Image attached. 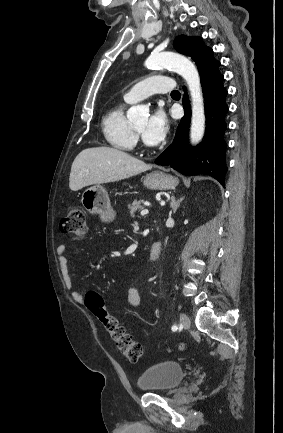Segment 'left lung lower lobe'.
Listing matches in <instances>:
<instances>
[{
	"mask_svg": "<svg viewBox=\"0 0 283 433\" xmlns=\"http://www.w3.org/2000/svg\"><path fill=\"white\" fill-rule=\"evenodd\" d=\"M195 63L200 73L201 85L205 98L206 137L196 148L188 144L190 109L187 95H184L185 115L178 126L173 143L161 153L155 163L169 165L178 172L190 176L206 174L225 186L227 166L225 154L227 143L224 133L227 129L225 116L228 106L225 102L227 91L223 87L224 77L218 68L220 62L213 58V51L208 48ZM184 91L186 88L183 87Z\"/></svg>",
	"mask_w": 283,
	"mask_h": 433,
	"instance_id": "obj_1",
	"label": "left lung lower lobe"
}]
</instances>
